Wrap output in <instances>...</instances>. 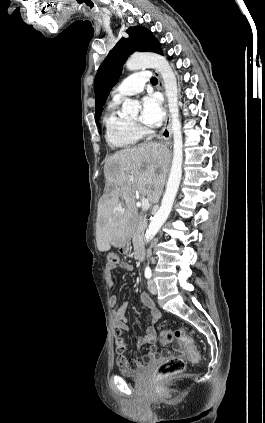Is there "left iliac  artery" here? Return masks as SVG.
Instances as JSON below:
<instances>
[{
	"instance_id": "44dca946",
	"label": "left iliac artery",
	"mask_w": 265,
	"mask_h": 423,
	"mask_svg": "<svg viewBox=\"0 0 265 423\" xmlns=\"http://www.w3.org/2000/svg\"><path fill=\"white\" fill-rule=\"evenodd\" d=\"M151 275H152V273H151V269H150V267H149V266H147V267L145 268V277H146L147 279H149V278H151Z\"/></svg>"
}]
</instances>
